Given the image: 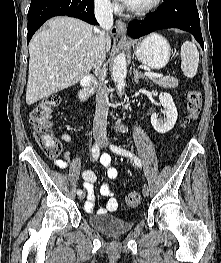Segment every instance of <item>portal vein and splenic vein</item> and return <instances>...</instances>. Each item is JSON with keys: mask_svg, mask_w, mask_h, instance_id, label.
<instances>
[{"mask_svg": "<svg viewBox=\"0 0 221 263\" xmlns=\"http://www.w3.org/2000/svg\"><path fill=\"white\" fill-rule=\"evenodd\" d=\"M145 75L152 77V78H162L163 75L159 73H152V72H145Z\"/></svg>", "mask_w": 221, "mask_h": 263, "instance_id": "portal-vein-and-splenic-vein-1", "label": "portal vein and splenic vein"}]
</instances>
